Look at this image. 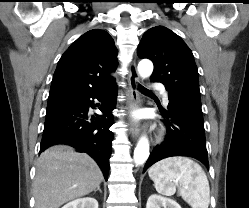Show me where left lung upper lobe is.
Segmentation results:
<instances>
[{
  "mask_svg": "<svg viewBox=\"0 0 249 208\" xmlns=\"http://www.w3.org/2000/svg\"><path fill=\"white\" fill-rule=\"evenodd\" d=\"M137 55L153 62L152 81L163 83L170 94L201 106L197 66L178 35L164 26L152 27L144 33Z\"/></svg>",
  "mask_w": 249,
  "mask_h": 208,
  "instance_id": "obj_1",
  "label": "left lung upper lobe"
}]
</instances>
